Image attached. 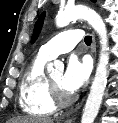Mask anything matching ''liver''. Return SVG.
<instances>
[{
  "label": "liver",
  "mask_w": 118,
  "mask_h": 123,
  "mask_svg": "<svg viewBox=\"0 0 118 123\" xmlns=\"http://www.w3.org/2000/svg\"><path fill=\"white\" fill-rule=\"evenodd\" d=\"M7 123H54L51 118L42 117H18L9 120Z\"/></svg>",
  "instance_id": "obj_1"
}]
</instances>
